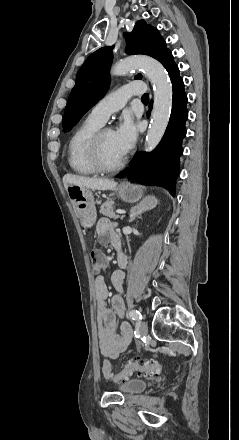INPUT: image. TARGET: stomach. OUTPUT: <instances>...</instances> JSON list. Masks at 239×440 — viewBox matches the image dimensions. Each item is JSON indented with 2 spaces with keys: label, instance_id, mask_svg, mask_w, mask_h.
<instances>
[{
  "label": "stomach",
  "instance_id": "0dacf381",
  "mask_svg": "<svg viewBox=\"0 0 239 440\" xmlns=\"http://www.w3.org/2000/svg\"><path fill=\"white\" fill-rule=\"evenodd\" d=\"M143 186H134V184H129L125 182L122 188H118L119 198L124 200V202H139L144 196ZM68 196L73 204L75 214L79 220H81L82 226L84 228H92L96 222L97 214L94 202V196L91 190L88 188H79V186H73L69 188Z\"/></svg>",
  "mask_w": 239,
  "mask_h": 440
}]
</instances>
